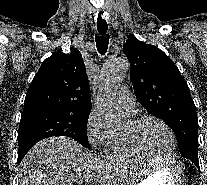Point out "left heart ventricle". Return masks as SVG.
<instances>
[{"label":"left heart ventricle","instance_id":"b2bd125f","mask_svg":"<svg viewBox=\"0 0 207 185\" xmlns=\"http://www.w3.org/2000/svg\"><path fill=\"white\" fill-rule=\"evenodd\" d=\"M131 122L125 131L131 130ZM136 138L142 147L155 157H164L171 148V138L167 130L156 121L143 123L136 131Z\"/></svg>","mask_w":207,"mask_h":185}]
</instances>
